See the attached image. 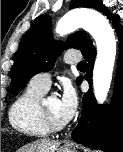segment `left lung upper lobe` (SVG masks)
<instances>
[{"label": "left lung upper lobe", "instance_id": "5c2ea615", "mask_svg": "<svg viewBox=\"0 0 123 152\" xmlns=\"http://www.w3.org/2000/svg\"><path fill=\"white\" fill-rule=\"evenodd\" d=\"M89 7L108 15L101 0H71L70 9ZM92 42L78 31L72 34L66 44L56 42L51 34V18L48 15L37 17L26 34L15 58L12 68L11 92L17 95L27 82L37 73L49 71L64 48L83 51Z\"/></svg>", "mask_w": 123, "mask_h": 152}]
</instances>
